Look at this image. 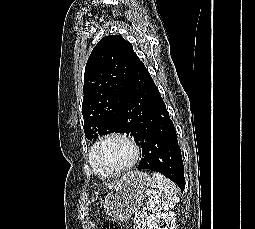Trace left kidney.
Listing matches in <instances>:
<instances>
[{"mask_svg": "<svg viewBox=\"0 0 255 229\" xmlns=\"http://www.w3.org/2000/svg\"><path fill=\"white\" fill-rule=\"evenodd\" d=\"M175 224L174 212H158L147 217L141 229H173ZM163 225V228L161 226Z\"/></svg>", "mask_w": 255, "mask_h": 229, "instance_id": "5707ae66", "label": "left kidney"}]
</instances>
